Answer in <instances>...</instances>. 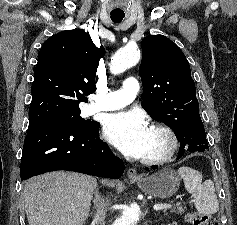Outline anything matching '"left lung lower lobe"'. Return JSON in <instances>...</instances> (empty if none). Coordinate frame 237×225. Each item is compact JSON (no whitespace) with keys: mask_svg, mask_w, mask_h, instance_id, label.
<instances>
[{"mask_svg":"<svg viewBox=\"0 0 237 225\" xmlns=\"http://www.w3.org/2000/svg\"><path fill=\"white\" fill-rule=\"evenodd\" d=\"M176 136L180 142L177 159H180L186 151L204 152L208 148L204 126L199 114L193 115L188 123L176 132ZM156 168L158 166H152V169Z\"/></svg>","mask_w":237,"mask_h":225,"instance_id":"0a47b994","label":"left lung lower lobe"}]
</instances>
